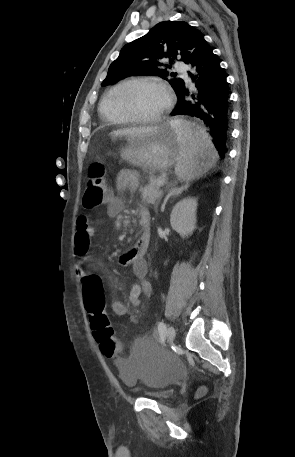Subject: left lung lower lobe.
<instances>
[{
    "instance_id": "1",
    "label": "left lung lower lobe",
    "mask_w": 295,
    "mask_h": 457,
    "mask_svg": "<svg viewBox=\"0 0 295 457\" xmlns=\"http://www.w3.org/2000/svg\"><path fill=\"white\" fill-rule=\"evenodd\" d=\"M188 72L197 92H190L185 84L176 93L178 103L171 115L186 114L200 118L209 127L211 142L224 158L229 137V91L223 69L216 55L203 39L193 51ZM190 96L191 100L186 97Z\"/></svg>"
}]
</instances>
